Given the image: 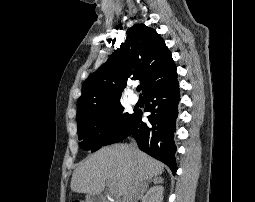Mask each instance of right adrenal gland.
I'll list each match as a JSON object with an SVG mask.
<instances>
[{
	"instance_id": "2a0ac1e0",
	"label": "right adrenal gland",
	"mask_w": 255,
	"mask_h": 202,
	"mask_svg": "<svg viewBox=\"0 0 255 202\" xmlns=\"http://www.w3.org/2000/svg\"><path fill=\"white\" fill-rule=\"evenodd\" d=\"M162 182H163V179L161 177H154L153 179L148 180L146 183L145 192L148 190L150 183L157 184ZM143 194L144 193H141L140 195H138L136 199L134 200V202H138L139 200L143 199Z\"/></svg>"
}]
</instances>
